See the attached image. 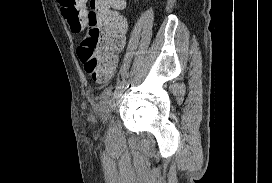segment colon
I'll return each instance as SVG.
<instances>
[{"mask_svg":"<svg viewBox=\"0 0 272 183\" xmlns=\"http://www.w3.org/2000/svg\"><path fill=\"white\" fill-rule=\"evenodd\" d=\"M74 33H83L78 56L86 72L105 79L124 46L127 21L119 14L125 0H58Z\"/></svg>","mask_w":272,"mask_h":183,"instance_id":"1","label":"colon"}]
</instances>
